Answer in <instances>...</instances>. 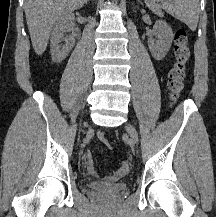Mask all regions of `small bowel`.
Returning a JSON list of instances; mask_svg holds the SVG:
<instances>
[{
	"mask_svg": "<svg viewBox=\"0 0 216 217\" xmlns=\"http://www.w3.org/2000/svg\"><path fill=\"white\" fill-rule=\"evenodd\" d=\"M85 163L87 171L92 176H97V169L96 165L92 156V153L90 151H87L85 154ZM117 178L116 174L109 175L105 178L107 182H112Z\"/></svg>",
	"mask_w": 216,
	"mask_h": 217,
	"instance_id": "small-bowel-1",
	"label": "small bowel"
}]
</instances>
